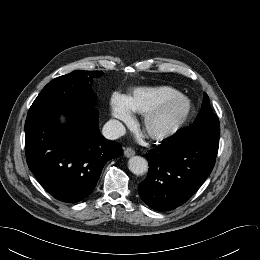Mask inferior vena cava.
<instances>
[{
  "instance_id": "602c4592",
  "label": "inferior vena cava",
  "mask_w": 260,
  "mask_h": 260,
  "mask_svg": "<svg viewBox=\"0 0 260 260\" xmlns=\"http://www.w3.org/2000/svg\"><path fill=\"white\" fill-rule=\"evenodd\" d=\"M126 130L123 124L115 119L109 120L103 127L102 133L105 138L115 140L125 134Z\"/></svg>"
}]
</instances>
